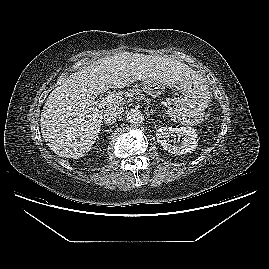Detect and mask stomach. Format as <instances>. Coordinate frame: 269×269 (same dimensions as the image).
<instances>
[{
	"label": "stomach",
	"mask_w": 269,
	"mask_h": 269,
	"mask_svg": "<svg viewBox=\"0 0 269 269\" xmlns=\"http://www.w3.org/2000/svg\"><path fill=\"white\" fill-rule=\"evenodd\" d=\"M144 87L149 92H156L162 89L157 82L146 80ZM178 97L173 101L174 113L190 123H197L201 120V115L210 103V91L203 82L179 83L175 85Z\"/></svg>",
	"instance_id": "1"
}]
</instances>
